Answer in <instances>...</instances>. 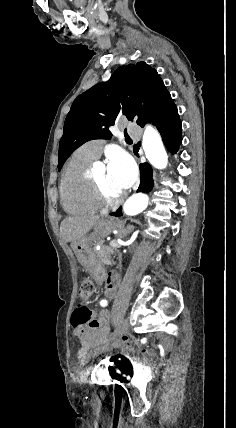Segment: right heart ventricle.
Listing matches in <instances>:
<instances>
[{
    "label": "right heart ventricle",
    "mask_w": 236,
    "mask_h": 428,
    "mask_svg": "<svg viewBox=\"0 0 236 428\" xmlns=\"http://www.w3.org/2000/svg\"><path fill=\"white\" fill-rule=\"evenodd\" d=\"M93 162L84 145L74 152L65 168L60 196L64 208L70 213H95L101 208L93 195L89 174Z\"/></svg>",
    "instance_id": "1"
}]
</instances>
